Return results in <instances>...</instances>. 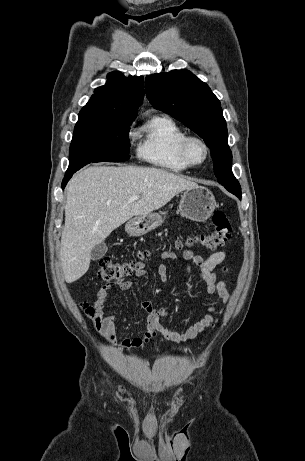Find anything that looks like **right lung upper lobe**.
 Returning a JSON list of instances; mask_svg holds the SVG:
<instances>
[{"mask_svg":"<svg viewBox=\"0 0 305 461\" xmlns=\"http://www.w3.org/2000/svg\"><path fill=\"white\" fill-rule=\"evenodd\" d=\"M79 114L135 119L144 97V78L111 72Z\"/></svg>","mask_w":305,"mask_h":461,"instance_id":"cb5924a9","label":"right lung upper lobe"}]
</instances>
